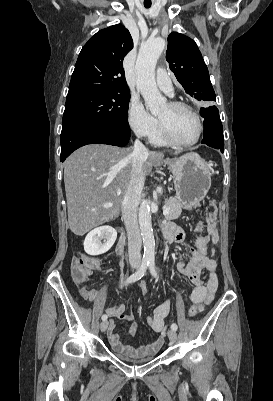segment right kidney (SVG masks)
Masks as SVG:
<instances>
[{"label": "right kidney", "instance_id": "ca27d5eb", "mask_svg": "<svg viewBox=\"0 0 273 401\" xmlns=\"http://www.w3.org/2000/svg\"><path fill=\"white\" fill-rule=\"evenodd\" d=\"M104 239V241H102ZM117 239V233L112 227H97L85 237L84 251L87 255H103L111 249Z\"/></svg>", "mask_w": 273, "mask_h": 401}]
</instances>
